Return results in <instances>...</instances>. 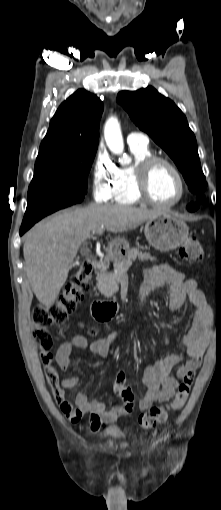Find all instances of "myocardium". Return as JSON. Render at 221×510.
<instances>
[{
    "instance_id": "1",
    "label": "myocardium",
    "mask_w": 221,
    "mask_h": 510,
    "mask_svg": "<svg viewBox=\"0 0 221 510\" xmlns=\"http://www.w3.org/2000/svg\"><path fill=\"white\" fill-rule=\"evenodd\" d=\"M160 164L168 166L174 172L179 181L180 192L178 197L172 202L168 203L158 202L154 200L150 194L149 190L150 176L152 174L153 169ZM135 187L137 195L142 202L157 208H170L179 204L185 198L187 192V185L185 179L177 165L168 158L158 155H150L142 159L137 164L135 168Z\"/></svg>"
}]
</instances>
